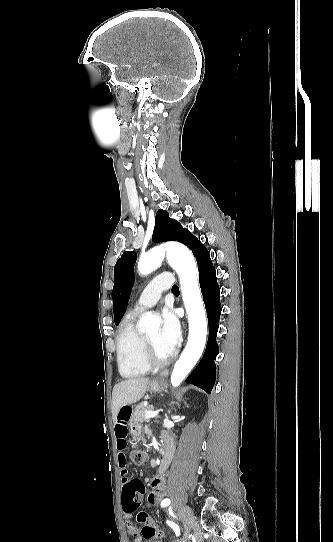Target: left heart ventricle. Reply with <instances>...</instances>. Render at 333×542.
<instances>
[{
  "label": "left heart ventricle",
  "mask_w": 333,
  "mask_h": 542,
  "mask_svg": "<svg viewBox=\"0 0 333 542\" xmlns=\"http://www.w3.org/2000/svg\"><path fill=\"white\" fill-rule=\"evenodd\" d=\"M145 336L151 343L154 353L158 358L165 359L171 355V352L168 350V348L161 342L159 331H154Z\"/></svg>",
  "instance_id": "left-heart-ventricle-1"
}]
</instances>
